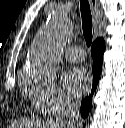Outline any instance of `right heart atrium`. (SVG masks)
<instances>
[{"instance_id": "obj_1", "label": "right heart atrium", "mask_w": 125, "mask_h": 128, "mask_svg": "<svg viewBox=\"0 0 125 128\" xmlns=\"http://www.w3.org/2000/svg\"><path fill=\"white\" fill-rule=\"evenodd\" d=\"M25 89L33 106L44 114H57L73 105L72 99L51 79L28 78Z\"/></svg>"}]
</instances>
